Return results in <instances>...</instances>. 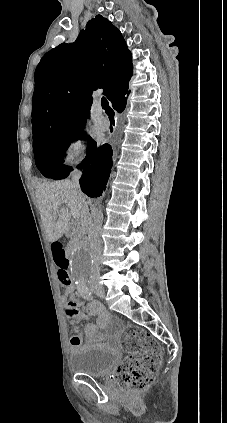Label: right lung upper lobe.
I'll list each match as a JSON object with an SVG mask.
<instances>
[{"label":"right lung upper lobe","instance_id":"obj_1","mask_svg":"<svg viewBox=\"0 0 227 423\" xmlns=\"http://www.w3.org/2000/svg\"><path fill=\"white\" fill-rule=\"evenodd\" d=\"M132 57L120 31L97 15L72 44L47 52L35 70L33 141L83 132L91 94L103 88L113 106L129 95Z\"/></svg>","mask_w":227,"mask_h":423}]
</instances>
